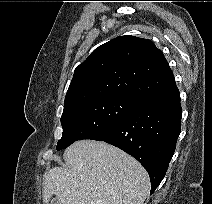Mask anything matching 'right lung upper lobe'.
Here are the masks:
<instances>
[{"mask_svg": "<svg viewBox=\"0 0 212 204\" xmlns=\"http://www.w3.org/2000/svg\"><path fill=\"white\" fill-rule=\"evenodd\" d=\"M175 85L163 53L152 41L121 36L99 46L75 69L64 108L109 96L140 102Z\"/></svg>", "mask_w": 212, "mask_h": 204, "instance_id": "right-lung-upper-lobe-1", "label": "right lung upper lobe"}]
</instances>
